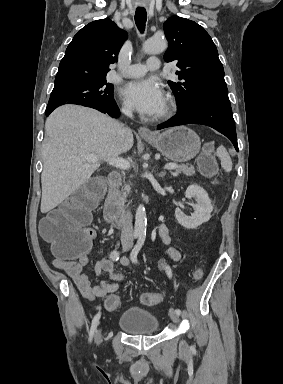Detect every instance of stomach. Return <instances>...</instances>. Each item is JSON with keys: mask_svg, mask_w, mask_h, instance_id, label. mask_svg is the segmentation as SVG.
<instances>
[{"mask_svg": "<svg viewBox=\"0 0 283 384\" xmlns=\"http://www.w3.org/2000/svg\"><path fill=\"white\" fill-rule=\"evenodd\" d=\"M144 140L173 162H188L199 154L201 148L199 136L185 126L171 128L163 134H156L155 138H144Z\"/></svg>", "mask_w": 283, "mask_h": 384, "instance_id": "1", "label": "stomach"}]
</instances>
